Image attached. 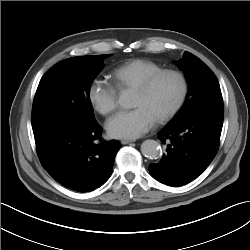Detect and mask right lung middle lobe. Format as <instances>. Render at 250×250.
<instances>
[{
  "label": "right lung middle lobe",
  "mask_w": 250,
  "mask_h": 250,
  "mask_svg": "<svg viewBox=\"0 0 250 250\" xmlns=\"http://www.w3.org/2000/svg\"><path fill=\"white\" fill-rule=\"evenodd\" d=\"M109 55L79 56L55 64L42 77L32 108L34 135L96 123L90 85Z\"/></svg>",
  "instance_id": "1"
}]
</instances>
